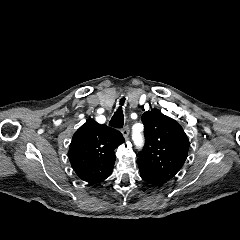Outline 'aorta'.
Instances as JSON below:
<instances>
[{
    "label": "aorta",
    "instance_id": "762f6f07",
    "mask_svg": "<svg viewBox=\"0 0 240 240\" xmlns=\"http://www.w3.org/2000/svg\"><path fill=\"white\" fill-rule=\"evenodd\" d=\"M133 140H134V143L136 144V146L142 145V142H143L142 135L139 134L138 132L133 133Z\"/></svg>",
    "mask_w": 240,
    "mask_h": 240
}]
</instances>
